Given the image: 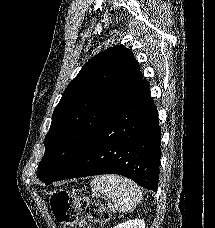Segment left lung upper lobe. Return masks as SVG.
<instances>
[{
	"instance_id": "1",
	"label": "left lung upper lobe",
	"mask_w": 215,
	"mask_h": 228,
	"mask_svg": "<svg viewBox=\"0 0 215 228\" xmlns=\"http://www.w3.org/2000/svg\"><path fill=\"white\" fill-rule=\"evenodd\" d=\"M141 81L133 53L122 45L91 58L70 82L53 112L39 179L45 183L61 175Z\"/></svg>"
}]
</instances>
